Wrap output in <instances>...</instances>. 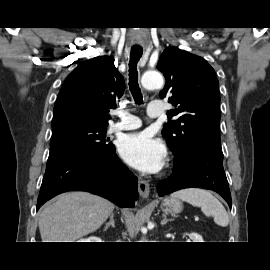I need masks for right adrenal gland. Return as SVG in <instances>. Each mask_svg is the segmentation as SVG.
<instances>
[{
	"label": "right adrenal gland",
	"instance_id": "2a0ac1e0",
	"mask_svg": "<svg viewBox=\"0 0 270 270\" xmlns=\"http://www.w3.org/2000/svg\"><path fill=\"white\" fill-rule=\"evenodd\" d=\"M110 226H112L113 228H115L114 213H112V214L110 215L109 222H107V223L105 224L104 230L108 229Z\"/></svg>",
	"mask_w": 270,
	"mask_h": 270
}]
</instances>
